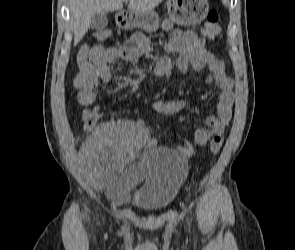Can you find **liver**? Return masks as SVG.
I'll list each match as a JSON object with an SVG mask.
<instances>
[{"label":"liver","instance_id":"1","mask_svg":"<svg viewBox=\"0 0 295 250\" xmlns=\"http://www.w3.org/2000/svg\"><path fill=\"white\" fill-rule=\"evenodd\" d=\"M163 0H69L74 45H77L90 27L93 16L111 11H122L123 2H129L131 11H151Z\"/></svg>","mask_w":295,"mask_h":250}]
</instances>
